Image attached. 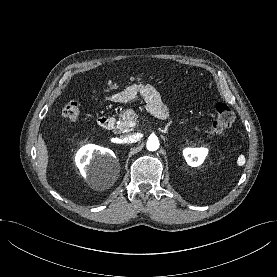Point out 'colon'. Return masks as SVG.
<instances>
[{"label": "colon", "instance_id": "obj_1", "mask_svg": "<svg viewBox=\"0 0 277 277\" xmlns=\"http://www.w3.org/2000/svg\"><path fill=\"white\" fill-rule=\"evenodd\" d=\"M108 86L114 88L116 83L110 82ZM80 111V104L77 101H70L64 106L62 114L69 120H77L80 116ZM234 119L235 115L231 108L223 102H218L215 106V119L210 127V133L212 135L222 134L231 128Z\"/></svg>", "mask_w": 277, "mask_h": 277}]
</instances>
